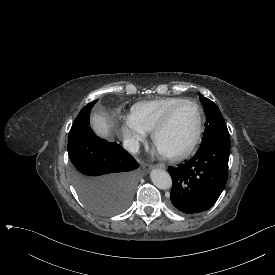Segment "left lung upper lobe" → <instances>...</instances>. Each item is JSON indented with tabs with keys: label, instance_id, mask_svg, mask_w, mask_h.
Instances as JSON below:
<instances>
[{
	"label": "left lung upper lobe",
	"instance_id": "5c2ea615",
	"mask_svg": "<svg viewBox=\"0 0 275 275\" xmlns=\"http://www.w3.org/2000/svg\"><path fill=\"white\" fill-rule=\"evenodd\" d=\"M199 98L207 114L202 144L215 139L229 137L226 123L217 105L201 94Z\"/></svg>",
	"mask_w": 275,
	"mask_h": 275
}]
</instances>
